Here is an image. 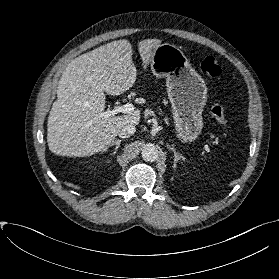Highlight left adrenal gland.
I'll return each instance as SVG.
<instances>
[{
    "instance_id": "left-adrenal-gland-1",
    "label": "left adrenal gland",
    "mask_w": 279,
    "mask_h": 279,
    "mask_svg": "<svg viewBox=\"0 0 279 279\" xmlns=\"http://www.w3.org/2000/svg\"><path fill=\"white\" fill-rule=\"evenodd\" d=\"M167 146L174 153V165H173V167L176 168V164H177L178 160H183L184 161L185 158L179 152H177L174 147H172L170 145H167Z\"/></svg>"
}]
</instances>
